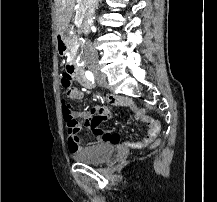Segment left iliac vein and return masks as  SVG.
<instances>
[{
    "mask_svg": "<svg viewBox=\"0 0 217 202\" xmlns=\"http://www.w3.org/2000/svg\"><path fill=\"white\" fill-rule=\"evenodd\" d=\"M98 83H99L100 86H103V85L106 84V82L103 81V79L101 77L98 78Z\"/></svg>",
    "mask_w": 217,
    "mask_h": 202,
    "instance_id": "1",
    "label": "left iliac vein"
}]
</instances>
